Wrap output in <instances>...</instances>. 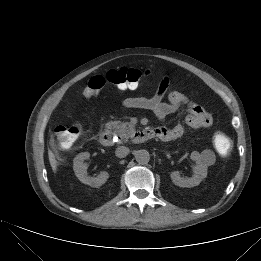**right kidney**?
Masks as SVG:
<instances>
[{"label": "right kidney", "mask_w": 261, "mask_h": 261, "mask_svg": "<svg viewBox=\"0 0 261 261\" xmlns=\"http://www.w3.org/2000/svg\"><path fill=\"white\" fill-rule=\"evenodd\" d=\"M90 154L88 152H83L78 154L74 158L73 170L76 177L84 184L91 187H100L106 183L109 178V173L106 171L101 172L97 177H90L87 175V164L84 162L89 159Z\"/></svg>", "instance_id": "right-kidney-1"}]
</instances>
